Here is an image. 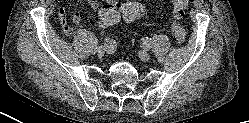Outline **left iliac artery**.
I'll list each match as a JSON object with an SVG mask.
<instances>
[{
    "label": "left iliac artery",
    "mask_w": 249,
    "mask_h": 123,
    "mask_svg": "<svg viewBox=\"0 0 249 123\" xmlns=\"http://www.w3.org/2000/svg\"><path fill=\"white\" fill-rule=\"evenodd\" d=\"M141 45L144 49H150L151 47V44H150V40L148 37L146 38H143L142 41H141Z\"/></svg>",
    "instance_id": "obj_1"
}]
</instances>
